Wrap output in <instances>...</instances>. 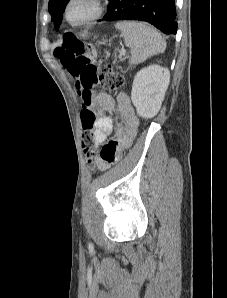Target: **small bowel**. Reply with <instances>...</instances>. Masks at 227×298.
I'll list each match as a JSON object with an SVG mask.
<instances>
[{"label": "small bowel", "mask_w": 227, "mask_h": 298, "mask_svg": "<svg viewBox=\"0 0 227 298\" xmlns=\"http://www.w3.org/2000/svg\"><path fill=\"white\" fill-rule=\"evenodd\" d=\"M96 102L100 117L93 131V145L98 149L93 155L94 163L101 169L116 167V162H121V152L132 145L137 135L139 120L129 97L124 93H119L116 98L100 93ZM106 113L112 114V117L106 116ZM112 133L115 137L105 144Z\"/></svg>", "instance_id": "1"}]
</instances>
